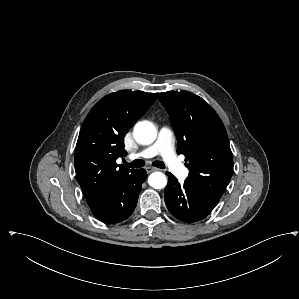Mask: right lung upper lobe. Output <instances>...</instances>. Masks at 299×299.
Returning <instances> with one entry per match:
<instances>
[{
  "mask_svg": "<svg viewBox=\"0 0 299 299\" xmlns=\"http://www.w3.org/2000/svg\"><path fill=\"white\" fill-rule=\"evenodd\" d=\"M156 98L157 93L122 90L103 97L87 115L76 144L75 171L89 206L134 170L116 160L126 154L124 136Z\"/></svg>",
  "mask_w": 299,
  "mask_h": 299,
  "instance_id": "1",
  "label": "right lung upper lobe"
}]
</instances>
